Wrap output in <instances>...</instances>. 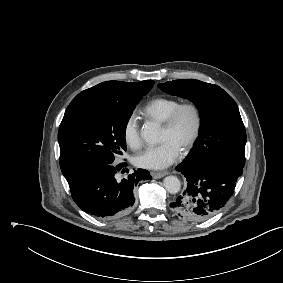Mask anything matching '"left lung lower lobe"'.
Listing matches in <instances>:
<instances>
[{
	"mask_svg": "<svg viewBox=\"0 0 283 283\" xmlns=\"http://www.w3.org/2000/svg\"><path fill=\"white\" fill-rule=\"evenodd\" d=\"M176 170L185 176L187 187L170 207L182 219L193 222L204 221L223 208L243 173L242 167L230 163H211L194 169L181 163Z\"/></svg>",
	"mask_w": 283,
	"mask_h": 283,
	"instance_id": "0a47b994",
	"label": "left lung lower lobe"
}]
</instances>
